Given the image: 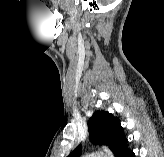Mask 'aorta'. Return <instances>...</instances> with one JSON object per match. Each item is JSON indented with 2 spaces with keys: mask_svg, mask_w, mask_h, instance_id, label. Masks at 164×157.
Here are the masks:
<instances>
[{
  "mask_svg": "<svg viewBox=\"0 0 164 157\" xmlns=\"http://www.w3.org/2000/svg\"><path fill=\"white\" fill-rule=\"evenodd\" d=\"M103 150L106 152L108 157H113V152L106 146H103Z\"/></svg>",
  "mask_w": 164,
  "mask_h": 157,
  "instance_id": "obj_1",
  "label": "aorta"
}]
</instances>
